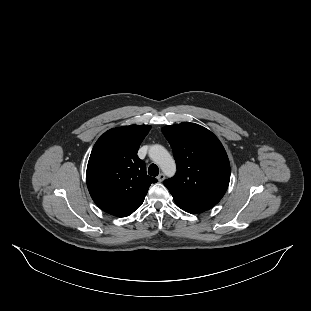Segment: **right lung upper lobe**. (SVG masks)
Returning <instances> with one entry per match:
<instances>
[{"mask_svg": "<svg viewBox=\"0 0 311 311\" xmlns=\"http://www.w3.org/2000/svg\"><path fill=\"white\" fill-rule=\"evenodd\" d=\"M150 125H130L105 132L95 143L87 166V187L93 201L108 214L126 217L144 201L156 178L146 174L138 148Z\"/></svg>", "mask_w": 311, "mask_h": 311, "instance_id": "obj_1", "label": "right lung upper lobe"}]
</instances>
